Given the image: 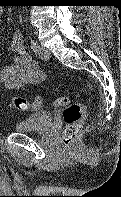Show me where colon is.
Masks as SVG:
<instances>
[{
  "label": "colon",
  "instance_id": "1",
  "mask_svg": "<svg viewBox=\"0 0 121 197\" xmlns=\"http://www.w3.org/2000/svg\"><path fill=\"white\" fill-rule=\"evenodd\" d=\"M12 102L16 109L28 111L37 110L43 104V99L37 96L30 102L21 97H14ZM53 105L56 107H64L63 120L65 122V129L63 139L65 146L69 148L81 131L86 107L83 104L70 103L68 96H62L54 100Z\"/></svg>",
  "mask_w": 121,
  "mask_h": 197
}]
</instances>
